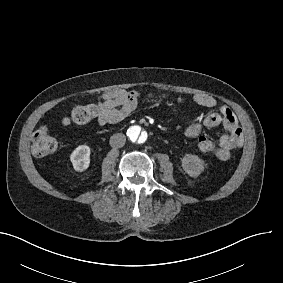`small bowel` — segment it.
I'll return each mask as SVG.
<instances>
[{
	"label": "small bowel",
	"instance_id": "small-bowel-1",
	"mask_svg": "<svg viewBox=\"0 0 283 283\" xmlns=\"http://www.w3.org/2000/svg\"><path fill=\"white\" fill-rule=\"evenodd\" d=\"M141 93L137 90H126L115 88L101 93L98 96L97 121L100 125L116 124L124 120L132 113ZM195 104L213 108L217 105V100L208 94H195L193 96ZM222 125L225 133L221 135L220 142L222 149L215 157L220 161H227L232 156V151L240 148L244 144L243 132L238 124L234 112L226 105L221 106L217 111L209 113L202 122L190 124L185 134L191 137L195 130H202L203 127L213 128Z\"/></svg>",
	"mask_w": 283,
	"mask_h": 283
}]
</instances>
